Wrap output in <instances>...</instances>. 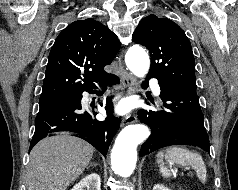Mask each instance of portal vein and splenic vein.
Masks as SVG:
<instances>
[{"label":"portal vein and splenic vein","instance_id":"1","mask_svg":"<svg viewBox=\"0 0 238 190\" xmlns=\"http://www.w3.org/2000/svg\"><path fill=\"white\" fill-rule=\"evenodd\" d=\"M173 173L176 174V173H177V170H174Z\"/></svg>","mask_w":238,"mask_h":190}]
</instances>
